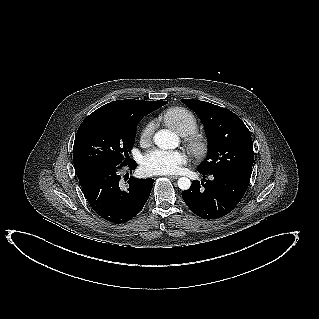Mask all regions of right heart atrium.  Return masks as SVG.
Segmentation results:
<instances>
[{
	"instance_id": "obj_1",
	"label": "right heart atrium",
	"mask_w": 319,
	"mask_h": 319,
	"mask_svg": "<svg viewBox=\"0 0 319 319\" xmlns=\"http://www.w3.org/2000/svg\"><path fill=\"white\" fill-rule=\"evenodd\" d=\"M153 132V123L152 122H148L141 130L140 132V142L141 143H147L149 142L151 135Z\"/></svg>"
}]
</instances>
